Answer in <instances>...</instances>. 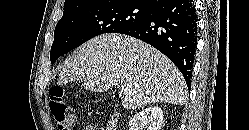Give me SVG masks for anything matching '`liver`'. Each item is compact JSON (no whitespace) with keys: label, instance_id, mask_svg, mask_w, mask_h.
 <instances>
[{"label":"liver","instance_id":"1","mask_svg":"<svg viewBox=\"0 0 249 130\" xmlns=\"http://www.w3.org/2000/svg\"><path fill=\"white\" fill-rule=\"evenodd\" d=\"M74 81L93 92L125 86L127 92L120 94L127 109L157 102L183 105L187 98L182 74L165 55L122 34L97 36L75 50L59 75L60 84Z\"/></svg>","mask_w":249,"mask_h":130}]
</instances>
